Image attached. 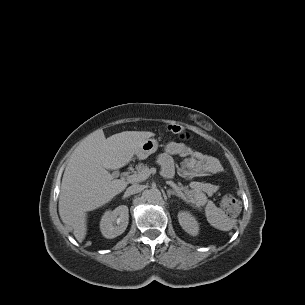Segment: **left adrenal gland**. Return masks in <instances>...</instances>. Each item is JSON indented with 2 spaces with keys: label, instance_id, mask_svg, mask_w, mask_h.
<instances>
[{
  "label": "left adrenal gland",
  "instance_id": "1",
  "mask_svg": "<svg viewBox=\"0 0 305 305\" xmlns=\"http://www.w3.org/2000/svg\"><path fill=\"white\" fill-rule=\"evenodd\" d=\"M167 195H168V197H170L171 195H176V196H178V197H181V196L178 194V192H175L174 190H171V189L167 190ZM182 198H183V197H182Z\"/></svg>",
  "mask_w": 305,
  "mask_h": 305
}]
</instances>
